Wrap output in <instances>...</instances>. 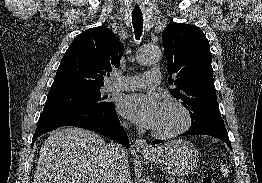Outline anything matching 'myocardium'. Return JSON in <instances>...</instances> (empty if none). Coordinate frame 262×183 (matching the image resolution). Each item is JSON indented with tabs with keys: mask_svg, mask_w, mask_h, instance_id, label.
I'll return each mask as SVG.
<instances>
[{
	"mask_svg": "<svg viewBox=\"0 0 262 183\" xmlns=\"http://www.w3.org/2000/svg\"><path fill=\"white\" fill-rule=\"evenodd\" d=\"M162 105H172V106L177 107L183 115V123L179 128H177L176 130L172 132L159 133V132L152 130L151 135L157 139L166 140V139L177 137L180 134L186 132L191 125V114H190L189 109L181 101L177 99H167L163 102Z\"/></svg>",
	"mask_w": 262,
	"mask_h": 183,
	"instance_id": "myocardium-1",
	"label": "myocardium"
}]
</instances>
